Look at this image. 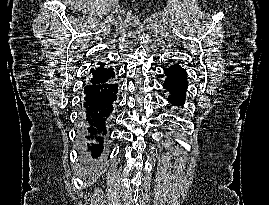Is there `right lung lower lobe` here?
Listing matches in <instances>:
<instances>
[{
	"mask_svg": "<svg viewBox=\"0 0 269 205\" xmlns=\"http://www.w3.org/2000/svg\"><path fill=\"white\" fill-rule=\"evenodd\" d=\"M118 85L113 81L103 84H89L84 88L82 110V136L85 148L92 158L103 151V136L117 99Z\"/></svg>",
	"mask_w": 269,
	"mask_h": 205,
	"instance_id": "obj_1",
	"label": "right lung lower lobe"
}]
</instances>
